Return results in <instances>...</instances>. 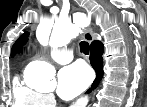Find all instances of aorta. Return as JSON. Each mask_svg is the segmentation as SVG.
<instances>
[{
    "label": "aorta",
    "instance_id": "762f6f07",
    "mask_svg": "<svg viewBox=\"0 0 147 107\" xmlns=\"http://www.w3.org/2000/svg\"><path fill=\"white\" fill-rule=\"evenodd\" d=\"M81 31L80 21H74L73 23L57 21L53 26L49 44L52 47L65 46ZM38 38L40 40L43 38L42 32L38 33ZM27 71L29 74V85L43 89H52L56 86L54 80L55 69L52 65L43 61H33L27 66Z\"/></svg>",
    "mask_w": 147,
    "mask_h": 107
}]
</instances>
